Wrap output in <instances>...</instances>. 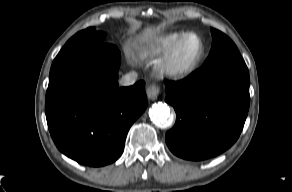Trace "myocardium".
<instances>
[{
	"label": "myocardium",
	"instance_id": "f54148a6",
	"mask_svg": "<svg viewBox=\"0 0 292 192\" xmlns=\"http://www.w3.org/2000/svg\"><path fill=\"white\" fill-rule=\"evenodd\" d=\"M196 37L200 42V50L198 54L187 64L179 61V55L184 42L190 38ZM206 53V45L203 38L195 32L185 33L172 47L168 54L164 57L160 69L163 74L171 78H184L191 75L202 63Z\"/></svg>",
	"mask_w": 292,
	"mask_h": 192
}]
</instances>
